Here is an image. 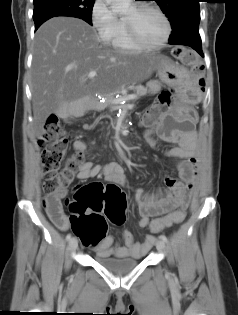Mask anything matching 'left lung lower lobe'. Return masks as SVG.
<instances>
[{
  "label": "left lung lower lobe",
  "instance_id": "1",
  "mask_svg": "<svg viewBox=\"0 0 238 315\" xmlns=\"http://www.w3.org/2000/svg\"><path fill=\"white\" fill-rule=\"evenodd\" d=\"M169 43L171 45L190 46L194 50H196L201 56H203L201 38H200L198 29L188 31V32L180 35L178 38L170 40Z\"/></svg>",
  "mask_w": 238,
  "mask_h": 315
}]
</instances>
